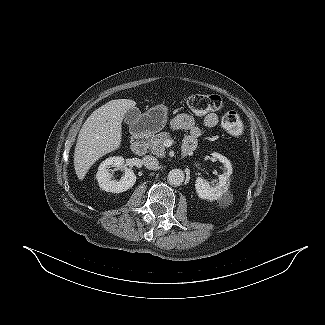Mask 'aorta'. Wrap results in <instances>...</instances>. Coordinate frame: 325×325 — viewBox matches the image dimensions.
Segmentation results:
<instances>
[{
    "label": "aorta",
    "mask_w": 325,
    "mask_h": 325,
    "mask_svg": "<svg viewBox=\"0 0 325 325\" xmlns=\"http://www.w3.org/2000/svg\"><path fill=\"white\" fill-rule=\"evenodd\" d=\"M185 178L184 172L181 169H172L168 173V182L170 185L179 186L183 183Z\"/></svg>",
    "instance_id": "obj_1"
}]
</instances>
